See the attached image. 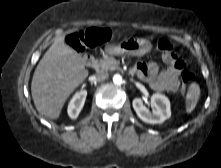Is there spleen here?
Returning a JSON list of instances; mask_svg holds the SVG:
<instances>
[{
    "label": "spleen",
    "mask_w": 221,
    "mask_h": 168,
    "mask_svg": "<svg viewBox=\"0 0 221 168\" xmlns=\"http://www.w3.org/2000/svg\"><path fill=\"white\" fill-rule=\"evenodd\" d=\"M200 96V88L198 84H192L190 86L188 95H187V103H186V112L191 113L196 107L197 101Z\"/></svg>",
    "instance_id": "obj_1"
}]
</instances>
